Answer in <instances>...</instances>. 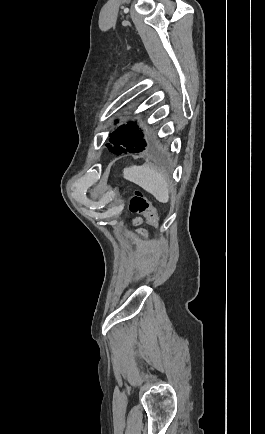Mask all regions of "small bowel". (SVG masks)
Wrapping results in <instances>:
<instances>
[{
    "mask_svg": "<svg viewBox=\"0 0 265 434\" xmlns=\"http://www.w3.org/2000/svg\"><path fill=\"white\" fill-rule=\"evenodd\" d=\"M136 222H137V223H140V220H137Z\"/></svg>",
    "mask_w": 265,
    "mask_h": 434,
    "instance_id": "obj_1",
    "label": "small bowel"
}]
</instances>
